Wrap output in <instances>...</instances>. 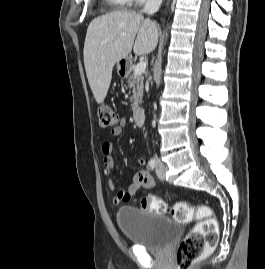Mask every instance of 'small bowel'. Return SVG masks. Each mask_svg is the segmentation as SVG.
<instances>
[{"instance_id": "1", "label": "small bowel", "mask_w": 265, "mask_h": 269, "mask_svg": "<svg viewBox=\"0 0 265 269\" xmlns=\"http://www.w3.org/2000/svg\"><path fill=\"white\" fill-rule=\"evenodd\" d=\"M126 125L124 120H121L120 124L111 130L113 136H120L122 134L123 127ZM113 143L110 141H105L102 144V154L104 162V173L109 175L111 170L115 165V160L113 157ZM138 164L144 166L146 161L144 158L138 159ZM156 186V182L151 174L146 170L138 171L134 177L132 183L128 186L127 189L117 190L115 182L109 178L107 181V187L109 191L114 192L113 203L115 205H120L125 202L131 201L137 194L140 188L152 189Z\"/></svg>"}]
</instances>
